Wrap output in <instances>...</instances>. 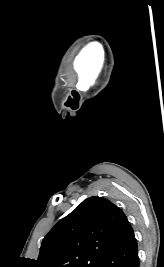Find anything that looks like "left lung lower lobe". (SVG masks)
I'll return each instance as SVG.
<instances>
[{
	"mask_svg": "<svg viewBox=\"0 0 164 267\" xmlns=\"http://www.w3.org/2000/svg\"><path fill=\"white\" fill-rule=\"evenodd\" d=\"M99 267H139L137 242L129 223L110 247Z\"/></svg>",
	"mask_w": 164,
	"mask_h": 267,
	"instance_id": "1",
	"label": "left lung lower lobe"
}]
</instances>
